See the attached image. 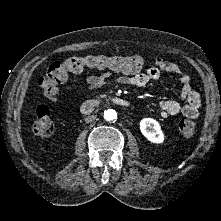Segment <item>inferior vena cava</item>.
I'll use <instances>...</instances> for the list:
<instances>
[{"instance_id": "obj_1", "label": "inferior vena cava", "mask_w": 221, "mask_h": 221, "mask_svg": "<svg viewBox=\"0 0 221 221\" xmlns=\"http://www.w3.org/2000/svg\"><path fill=\"white\" fill-rule=\"evenodd\" d=\"M96 119V115H89L85 118L86 123H91Z\"/></svg>"}]
</instances>
